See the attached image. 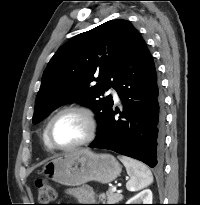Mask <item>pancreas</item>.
<instances>
[{
    "mask_svg": "<svg viewBox=\"0 0 200 205\" xmlns=\"http://www.w3.org/2000/svg\"><path fill=\"white\" fill-rule=\"evenodd\" d=\"M99 199L103 201L107 200V204H117L119 201L123 199V195L120 193H114L111 189L106 192V194L102 193L99 195Z\"/></svg>",
    "mask_w": 200,
    "mask_h": 205,
    "instance_id": "1",
    "label": "pancreas"
}]
</instances>
